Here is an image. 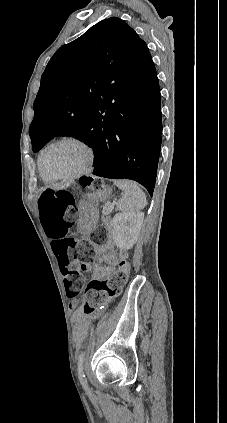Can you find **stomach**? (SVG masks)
Segmentation results:
<instances>
[{"label": "stomach", "instance_id": "obj_1", "mask_svg": "<svg viewBox=\"0 0 227 423\" xmlns=\"http://www.w3.org/2000/svg\"><path fill=\"white\" fill-rule=\"evenodd\" d=\"M111 194V188H102V190H96V192L90 194L89 198H91V200H100V202H107V200H110Z\"/></svg>", "mask_w": 227, "mask_h": 423}]
</instances>
